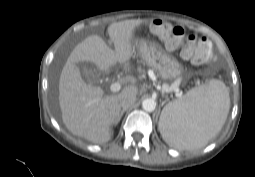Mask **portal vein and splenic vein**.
I'll return each mask as SVG.
<instances>
[{
	"label": "portal vein and splenic vein",
	"mask_w": 255,
	"mask_h": 177,
	"mask_svg": "<svg viewBox=\"0 0 255 177\" xmlns=\"http://www.w3.org/2000/svg\"><path fill=\"white\" fill-rule=\"evenodd\" d=\"M120 89H121V85H120L119 82H114V83H112L111 86H110V90H111L112 92H118ZM173 89H174V88L169 87V88H166L165 91H166V92H172Z\"/></svg>",
	"instance_id": "portal-vein-and-splenic-vein-1"
}]
</instances>
